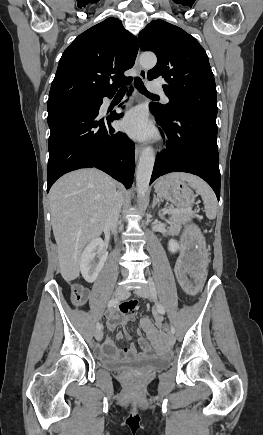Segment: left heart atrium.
Returning a JSON list of instances; mask_svg holds the SVG:
<instances>
[{"label":"left heart atrium","instance_id":"39dd6f15","mask_svg":"<svg viewBox=\"0 0 263 435\" xmlns=\"http://www.w3.org/2000/svg\"><path fill=\"white\" fill-rule=\"evenodd\" d=\"M120 126L125 133L134 139L144 140L154 135L146 113L141 108L128 111L121 120Z\"/></svg>","mask_w":263,"mask_h":435}]
</instances>
